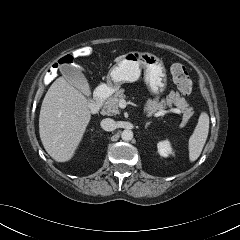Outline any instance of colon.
<instances>
[{
	"label": "colon",
	"mask_w": 240,
	"mask_h": 240,
	"mask_svg": "<svg viewBox=\"0 0 240 240\" xmlns=\"http://www.w3.org/2000/svg\"><path fill=\"white\" fill-rule=\"evenodd\" d=\"M91 54H92L91 48L81 47L79 49H76L71 54L61 57L54 65V67L58 68L60 66L70 64L77 57H88ZM170 71L173 81L176 84L178 90L184 95L190 94L193 89V84L185 66L181 63L174 62L170 67Z\"/></svg>",
	"instance_id": "colon-1"
}]
</instances>
